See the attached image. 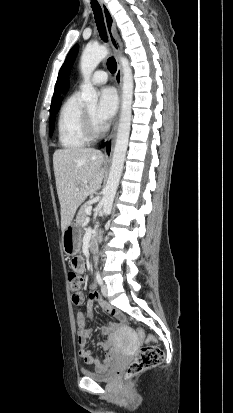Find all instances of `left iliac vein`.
Segmentation results:
<instances>
[{
	"mask_svg": "<svg viewBox=\"0 0 233 413\" xmlns=\"http://www.w3.org/2000/svg\"><path fill=\"white\" fill-rule=\"evenodd\" d=\"M101 292H102L103 296L107 297V295H108V290H107V287H106L105 284H102V285H101Z\"/></svg>",
	"mask_w": 233,
	"mask_h": 413,
	"instance_id": "1",
	"label": "left iliac vein"
}]
</instances>
